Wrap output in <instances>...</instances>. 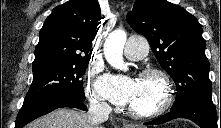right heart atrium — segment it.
Listing matches in <instances>:
<instances>
[{
    "mask_svg": "<svg viewBox=\"0 0 221 128\" xmlns=\"http://www.w3.org/2000/svg\"><path fill=\"white\" fill-rule=\"evenodd\" d=\"M95 73H91L89 75L88 79V88L86 91V95L90 101L91 106L95 108H105L106 104L103 101V99L100 97V95L96 92V90L93 88V79H94Z\"/></svg>",
    "mask_w": 221,
    "mask_h": 128,
    "instance_id": "d8ad5b80",
    "label": "right heart atrium"
}]
</instances>
